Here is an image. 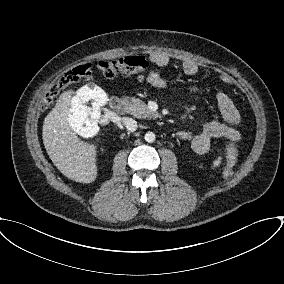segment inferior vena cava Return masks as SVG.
Returning a JSON list of instances; mask_svg holds the SVG:
<instances>
[{
	"label": "inferior vena cava",
	"instance_id": "1",
	"mask_svg": "<svg viewBox=\"0 0 284 284\" xmlns=\"http://www.w3.org/2000/svg\"><path fill=\"white\" fill-rule=\"evenodd\" d=\"M123 124L125 125V127L127 128L128 131L133 132L137 129L138 125L137 122L129 117H124L122 119Z\"/></svg>",
	"mask_w": 284,
	"mask_h": 284
}]
</instances>
